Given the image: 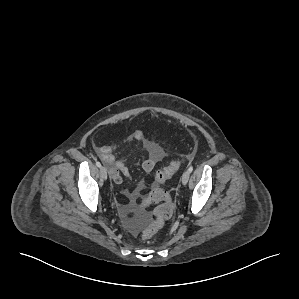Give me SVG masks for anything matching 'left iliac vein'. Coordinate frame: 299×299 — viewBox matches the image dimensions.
<instances>
[{
    "mask_svg": "<svg viewBox=\"0 0 299 299\" xmlns=\"http://www.w3.org/2000/svg\"><path fill=\"white\" fill-rule=\"evenodd\" d=\"M189 176H190V172L188 170L182 174L181 181L183 185H186L188 183Z\"/></svg>",
    "mask_w": 299,
    "mask_h": 299,
    "instance_id": "obj_1",
    "label": "left iliac vein"
}]
</instances>
